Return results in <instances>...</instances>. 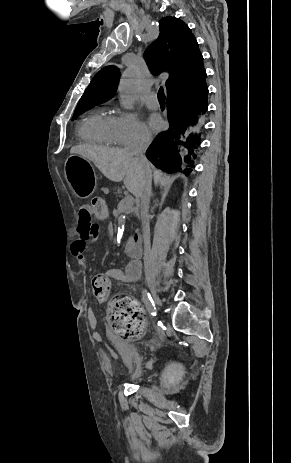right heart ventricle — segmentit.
<instances>
[{
    "label": "right heart ventricle",
    "mask_w": 291,
    "mask_h": 463,
    "mask_svg": "<svg viewBox=\"0 0 291 463\" xmlns=\"http://www.w3.org/2000/svg\"><path fill=\"white\" fill-rule=\"evenodd\" d=\"M114 119L115 116L105 110L92 112L80 122L78 137L86 143L104 146L117 145Z\"/></svg>",
    "instance_id": "e07e8e85"
}]
</instances>
